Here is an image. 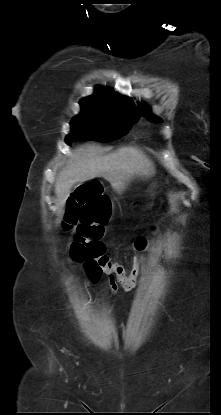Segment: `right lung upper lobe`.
I'll list each match as a JSON object with an SVG mask.
<instances>
[{
    "instance_id": "cb5924a9",
    "label": "right lung upper lobe",
    "mask_w": 221,
    "mask_h": 415,
    "mask_svg": "<svg viewBox=\"0 0 221 415\" xmlns=\"http://www.w3.org/2000/svg\"><path fill=\"white\" fill-rule=\"evenodd\" d=\"M80 105H91L108 109H123L138 113L131 99L123 97L110 88L97 87L96 92L80 100Z\"/></svg>"
}]
</instances>
